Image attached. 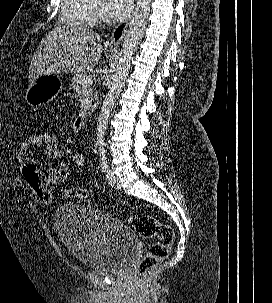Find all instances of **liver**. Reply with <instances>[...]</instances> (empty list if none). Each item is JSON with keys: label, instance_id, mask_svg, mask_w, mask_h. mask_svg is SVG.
<instances>
[{"label": "liver", "instance_id": "liver-1", "mask_svg": "<svg viewBox=\"0 0 272 303\" xmlns=\"http://www.w3.org/2000/svg\"><path fill=\"white\" fill-rule=\"evenodd\" d=\"M102 54L101 37L84 26H57L40 42L28 69L29 82L40 76L93 68Z\"/></svg>", "mask_w": 272, "mask_h": 303}]
</instances>
